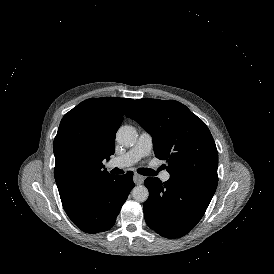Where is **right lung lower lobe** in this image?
I'll use <instances>...</instances> for the list:
<instances>
[{
	"label": "right lung lower lobe",
	"mask_w": 274,
	"mask_h": 274,
	"mask_svg": "<svg viewBox=\"0 0 274 274\" xmlns=\"http://www.w3.org/2000/svg\"><path fill=\"white\" fill-rule=\"evenodd\" d=\"M134 186L131 171L121 176L109 175L96 181L78 197L63 203V207L74 224L84 232H103L115 224Z\"/></svg>",
	"instance_id": "98d812e1"
}]
</instances>
